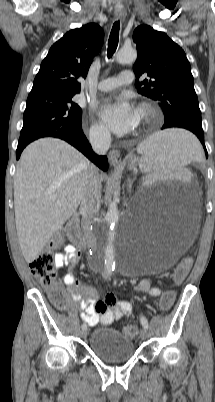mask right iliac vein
Here are the masks:
<instances>
[{"mask_svg": "<svg viewBox=\"0 0 215 402\" xmlns=\"http://www.w3.org/2000/svg\"><path fill=\"white\" fill-rule=\"evenodd\" d=\"M87 333H88L87 328L82 329V331H81V337H82V338H86Z\"/></svg>", "mask_w": 215, "mask_h": 402, "instance_id": "63e3f726", "label": "right iliac vein"}]
</instances>
